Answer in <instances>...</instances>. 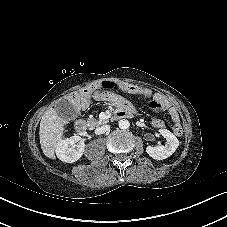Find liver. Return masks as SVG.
Masks as SVG:
<instances>
[{
  "label": "liver",
  "instance_id": "obj_1",
  "mask_svg": "<svg viewBox=\"0 0 227 227\" xmlns=\"http://www.w3.org/2000/svg\"><path fill=\"white\" fill-rule=\"evenodd\" d=\"M64 124V120L52 107H49L42 116L39 131L40 144L44 155L50 159H55L56 145L62 140Z\"/></svg>",
  "mask_w": 227,
  "mask_h": 227
}]
</instances>
